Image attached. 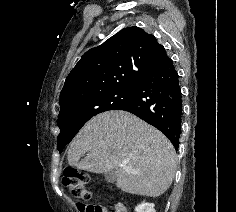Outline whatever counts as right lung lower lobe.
<instances>
[{
	"label": "right lung lower lobe",
	"mask_w": 236,
	"mask_h": 212,
	"mask_svg": "<svg viewBox=\"0 0 236 212\" xmlns=\"http://www.w3.org/2000/svg\"><path fill=\"white\" fill-rule=\"evenodd\" d=\"M117 110L135 114L158 128L178 149L182 95L178 73L167 54L142 78L133 97Z\"/></svg>",
	"instance_id": "right-lung-lower-lobe-1"
}]
</instances>
